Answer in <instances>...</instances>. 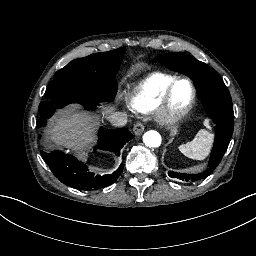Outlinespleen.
I'll list each match as a JSON object with an SVG mask.
<instances>
[{
  "mask_svg": "<svg viewBox=\"0 0 256 256\" xmlns=\"http://www.w3.org/2000/svg\"><path fill=\"white\" fill-rule=\"evenodd\" d=\"M203 125L211 130L209 119H205ZM208 130H199L192 141L178 147L179 151L190 159L204 160L209 156L214 140V134Z\"/></svg>",
  "mask_w": 256,
  "mask_h": 256,
  "instance_id": "1",
  "label": "spleen"
}]
</instances>
